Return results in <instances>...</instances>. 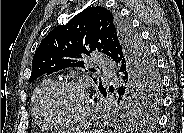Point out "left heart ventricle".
Here are the masks:
<instances>
[{
    "label": "left heart ventricle",
    "mask_w": 184,
    "mask_h": 133,
    "mask_svg": "<svg viewBox=\"0 0 184 133\" xmlns=\"http://www.w3.org/2000/svg\"><path fill=\"white\" fill-rule=\"evenodd\" d=\"M50 107L57 117L74 119L85 110V99L78 89L62 87L52 95Z\"/></svg>",
    "instance_id": "left-heart-ventricle-1"
}]
</instances>
